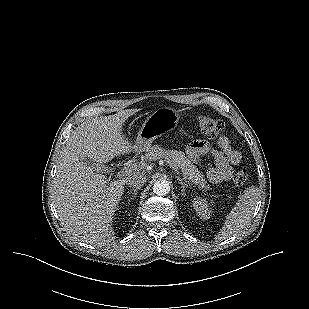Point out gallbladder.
<instances>
[{
	"instance_id": "obj_1",
	"label": "gallbladder",
	"mask_w": 309,
	"mask_h": 309,
	"mask_svg": "<svg viewBox=\"0 0 309 309\" xmlns=\"http://www.w3.org/2000/svg\"><path fill=\"white\" fill-rule=\"evenodd\" d=\"M83 162L95 172H105L106 171V167L104 165L91 163L87 158L84 159Z\"/></svg>"
}]
</instances>
